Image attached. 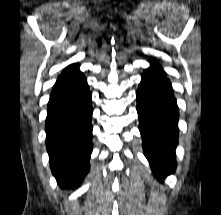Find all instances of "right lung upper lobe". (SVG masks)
I'll use <instances>...</instances> for the list:
<instances>
[{"instance_id": "right-lung-upper-lobe-1", "label": "right lung upper lobe", "mask_w": 221, "mask_h": 215, "mask_svg": "<svg viewBox=\"0 0 221 215\" xmlns=\"http://www.w3.org/2000/svg\"><path fill=\"white\" fill-rule=\"evenodd\" d=\"M78 72H79V66L78 65H75V64L69 65L68 67H66L64 69L62 74L59 76L57 82L61 81L63 79H66L68 77H71V76H73L74 74H76Z\"/></svg>"}]
</instances>
